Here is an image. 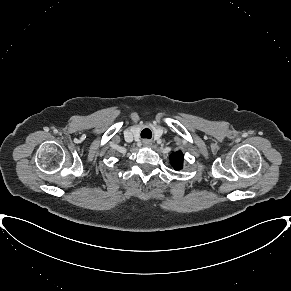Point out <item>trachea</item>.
Listing matches in <instances>:
<instances>
[{
	"mask_svg": "<svg viewBox=\"0 0 291 291\" xmlns=\"http://www.w3.org/2000/svg\"><path fill=\"white\" fill-rule=\"evenodd\" d=\"M141 137L142 138H147V139H150L152 137V132L150 129L148 128H145L142 130L141 132Z\"/></svg>",
	"mask_w": 291,
	"mask_h": 291,
	"instance_id": "1",
	"label": "trachea"
}]
</instances>
